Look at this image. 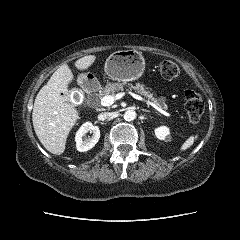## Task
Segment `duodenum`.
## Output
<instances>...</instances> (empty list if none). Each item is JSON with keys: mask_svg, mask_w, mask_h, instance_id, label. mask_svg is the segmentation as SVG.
Returning <instances> with one entry per match:
<instances>
[{"mask_svg": "<svg viewBox=\"0 0 240 240\" xmlns=\"http://www.w3.org/2000/svg\"><path fill=\"white\" fill-rule=\"evenodd\" d=\"M84 86L90 91V92H94L97 90V85L95 82L92 81H86L84 83Z\"/></svg>", "mask_w": 240, "mask_h": 240, "instance_id": "duodenum-1", "label": "duodenum"}]
</instances>
